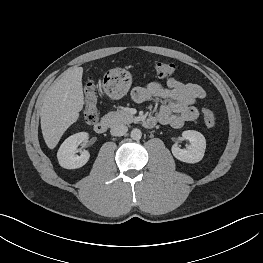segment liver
Instances as JSON below:
<instances>
[{
	"label": "liver",
	"instance_id": "1",
	"mask_svg": "<svg viewBox=\"0 0 263 263\" xmlns=\"http://www.w3.org/2000/svg\"><path fill=\"white\" fill-rule=\"evenodd\" d=\"M83 68L74 66L50 86L40 108L41 129L46 145L54 149L83 109Z\"/></svg>",
	"mask_w": 263,
	"mask_h": 263
}]
</instances>
